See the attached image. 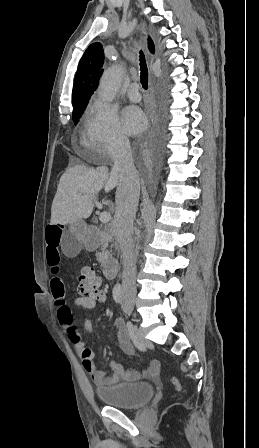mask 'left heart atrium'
<instances>
[{
	"mask_svg": "<svg viewBox=\"0 0 259 448\" xmlns=\"http://www.w3.org/2000/svg\"><path fill=\"white\" fill-rule=\"evenodd\" d=\"M122 125L128 134H139L146 126L144 114L138 107L128 106L122 113Z\"/></svg>",
	"mask_w": 259,
	"mask_h": 448,
	"instance_id": "39dd6f15",
	"label": "left heart atrium"
}]
</instances>
